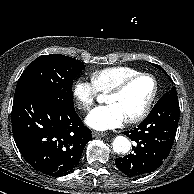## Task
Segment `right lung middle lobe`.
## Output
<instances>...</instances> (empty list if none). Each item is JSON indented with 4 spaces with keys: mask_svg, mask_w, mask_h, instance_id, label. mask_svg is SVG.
Listing matches in <instances>:
<instances>
[{
    "mask_svg": "<svg viewBox=\"0 0 194 194\" xmlns=\"http://www.w3.org/2000/svg\"><path fill=\"white\" fill-rule=\"evenodd\" d=\"M86 65L74 58L50 54L35 59L23 71L15 96L27 92H42L61 100H72V83Z\"/></svg>",
    "mask_w": 194,
    "mask_h": 194,
    "instance_id": "1",
    "label": "right lung middle lobe"
}]
</instances>
